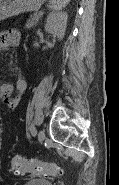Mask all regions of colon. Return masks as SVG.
Segmentation results:
<instances>
[{
  "label": "colon",
  "mask_w": 119,
  "mask_h": 185,
  "mask_svg": "<svg viewBox=\"0 0 119 185\" xmlns=\"http://www.w3.org/2000/svg\"><path fill=\"white\" fill-rule=\"evenodd\" d=\"M10 171L15 173H30L44 177L60 174V168L52 162H43L36 159H25L15 155L10 159Z\"/></svg>",
  "instance_id": "5ec220e1"
}]
</instances>
